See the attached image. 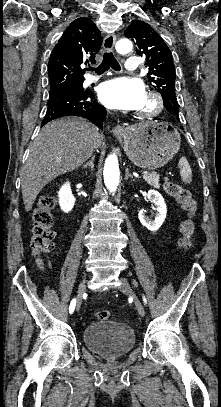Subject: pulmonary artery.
I'll list each match as a JSON object with an SVG mask.
<instances>
[{
	"label": "pulmonary artery",
	"mask_w": 221,
	"mask_h": 407,
	"mask_svg": "<svg viewBox=\"0 0 221 407\" xmlns=\"http://www.w3.org/2000/svg\"><path fill=\"white\" fill-rule=\"evenodd\" d=\"M124 65H125V72L127 74H133V73H135L137 71L138 64H137V61H136V59L134 57H128L126 59ZM94 81H96L95 77H89L87 79V83H92Z\"/></svg>",
	"instance_id": "e3ab8cb5"
}]
</instances>
